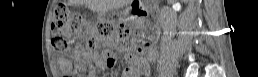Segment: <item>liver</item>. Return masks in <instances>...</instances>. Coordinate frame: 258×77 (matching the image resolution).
Segmentation results:
<instances>
[{
    "label": "liver",
    "mask_w": 258,
    "mask_h": 77,
    "mask_svg": "<svg viewBox=\"0 0 258 77\" xmlns=\"http://www.w3.org/2000/svg\"><path fill=\"white\" fill-rule=\"evenodd\" d=\"M75 4H85L93 12H105L107 10L127 5L132 0H73Z\"/></svg>",
    "instance_id": "liver-1"
}]
</instances>
